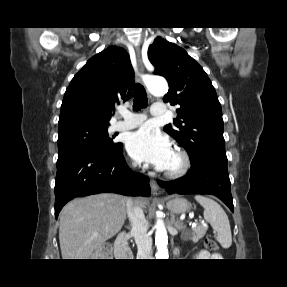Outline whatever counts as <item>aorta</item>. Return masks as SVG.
Instances as JSON below:
<instances>
[{
	"instance_id": "obj_1",
	"label": "aorta",
	"mask_w": 287,
	"mask_h": 287,
	"mask_svg": "<svg viewBox=\"0 0 287 287\" xmlns=\"http://www.w3.org/2000/svg\"><path fill=\"white\" fill-rule=\"evenodd\" d=\"M149 90L153 93L165 94L168 91L167 82L164 79H155L149 85ZM155 244L157 247L156 259H168V236L165 223L157 213V222L155 225Z\"/></svg>"
}]
</instances>
